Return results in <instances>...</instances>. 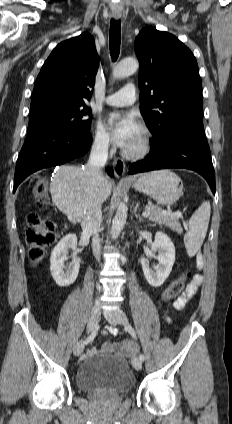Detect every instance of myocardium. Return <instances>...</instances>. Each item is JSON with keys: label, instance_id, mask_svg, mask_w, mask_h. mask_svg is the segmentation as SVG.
<instances>
[{"label": "myocardium", "instance_id": "myocardium-1", "mask_svg": "<svg viewBox=\"0 0 232 424\" xmlns=\"http://www.w3.org/2000/svg\"><path fill=\"white\" fill-rule=\"evenodd\" d=\"M141 139L140 143L135 148H124L122 155L127 159H141L145 157L152 147V135L149 129L145 126H140Z\"/></svg>", "mask_w": 232, "mask_h": 424}]
</instances>
